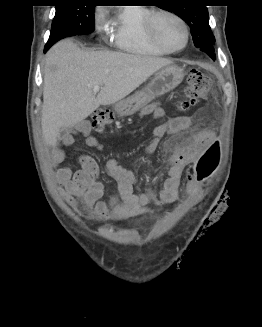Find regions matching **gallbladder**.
I'll return each mask as SVG.
<instances>
[{
	"label": "gallbladder",
	"mask_w": 262,
	"mask_h": 327,
	"mask_svg": "<svg viewBox=\"0 0 262 327\" xmlns=\"http://www.w3.org/2000/svg\"><path fill=\"white\" fill-rule=\"evenodd\" d=\"M66 134H68V131H67V130L64 131V135H65V136H66Z\"/></svg>",
	"instance_id": "obj_1"
}]
</instances>
